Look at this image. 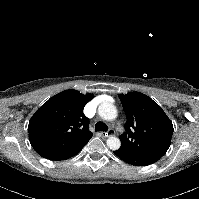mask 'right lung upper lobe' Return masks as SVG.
Returning <instances> with one entry per match:
<instances>
[{
    "label": "right lung upper lobe",
    "mask_w": 199,
    "mask_h": 199,
    "mask_svg": "<svg viewBox=\"0 0 199 199\" xmlns=\"http://www.w3.org/2000/svg\"><path fill=\"white\" fill-rule=\"evenodd\" d=\"M93 98L76 90H66L44 103L29 121V140L44 158L66 154L86 144L93 133L83 109Z\"/></svg>",
    "instance_id": "right-lung-upper-lobe-1"
}]
</instances>
